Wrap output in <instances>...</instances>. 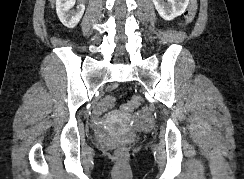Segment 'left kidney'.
I'll return each mask as SVG.
<instances>
[{"mask_svg": "<svg viewBox=\"0 0 244 179\" xmlns=\"http://www.w3.org/2000/svg\"><path fill=\"white\" fill-rule=\"evenodd\" d=\"M153 0V4L163 20H174L177 16H181L185 12L189 0Z\"/></svg>", "mask_w": 244, "mask_h": 179, "instance_id": "1", "label": "left kidney"}]
</instances>
